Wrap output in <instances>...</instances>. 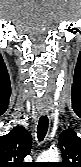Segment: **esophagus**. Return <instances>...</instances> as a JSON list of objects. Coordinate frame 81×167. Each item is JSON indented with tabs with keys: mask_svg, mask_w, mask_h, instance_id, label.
<instances>
[{
	"mask_svg": "<svg viewBox=\"0 0 81 167\" xmlns=\"http://www.w3.org/2000/svg\"><path fill=\"white\" fill-rule=\"evenodd\" d=\"M42 114H46V112L45 111H43V112H41Z\"/></svg>",
	"mask_w": 81,
	"mask_h": 167,
	"instance_id": "1",
	"label": "esophagus"
}]
</instances>
